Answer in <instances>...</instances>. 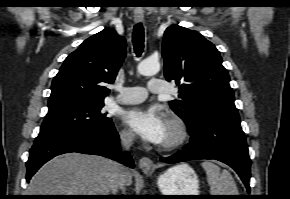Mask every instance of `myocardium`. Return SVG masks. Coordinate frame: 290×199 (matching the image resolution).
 Segmentation results:
<instances>
[{"label":"myocardium","instance_id":"myocardium-1","mask_svg":"<svg viewBox=\"0 0 290 199\" xmlns=\"http://www.w3.org/2000/svg\"><path fill=\"white\" fill-rule=\"evenodd\" d=\"M166 120L167 124L172 128L174 136L168 142L161 144L160 149L172 151L186 143L189 138V130L184 120L175 114H169Z\"/></svg>","mask_w":290,"mask_h":199}]
</instances>
